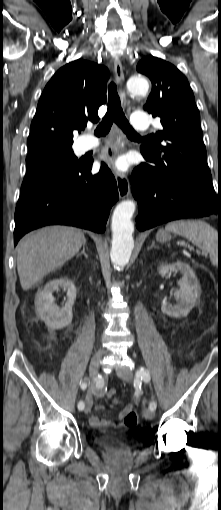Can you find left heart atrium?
I'll return each mask as SVG.
<instances>
[{"instance_id": "1", "label": "left heart atrium", "mask_w": 221, "mask_h": 510, "mask_svg": "<svg viewBox=\"0 0 221 510\" xmlns=\"http://www.w3.org/2000/svg\"><path fill=\"white\" fill-rule=\"evenodd\" d=\"M117 166L120 169H126L128 166V160L126 158H121L117 161Z\"/></svg>"}]
</instances>
